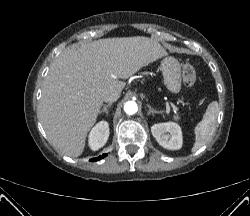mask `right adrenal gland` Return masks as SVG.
Returning a JSON list of instances; mask_svg holds the SVG:
<instances>
[{"instance_id":"1","label":"right adrenal gland","mask_w":250,"mask_h":216,"mask_svg":"<svg viewBox=\"0 0 250 216\" xmlns=\"http://www.w3.org/2000/svg\"><path fill=\"white\" fill-rule=\"evenodd\" d=\"M112 104L111 103H109V104H107V105H104V107H103V109L99 112L100 114H103V113H106L107 115L109 114V112H108V107H110Z\"/></svg>"}]
</instances>
